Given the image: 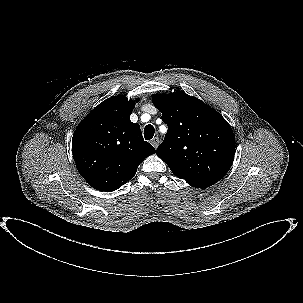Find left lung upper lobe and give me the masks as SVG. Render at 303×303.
<instances>
[{
	"label": "left lung upper lobe",
	"instance_id": "5c2ea615",
	"mask_svg": "<svg viewBox=\"0 0 303 303\" xmlns=\"http://www.w3.org/2000/svg\"><path fill=\"white\" fill-rule=\"evenodd\" d=\"M168 125L156 154L187 183L219 181L230 169L235 136L228 122L198 98L183 92L152 98Z\"/></svg>",
	"mask_w": 303,
	"mask_h": 303
}]
</instances>
